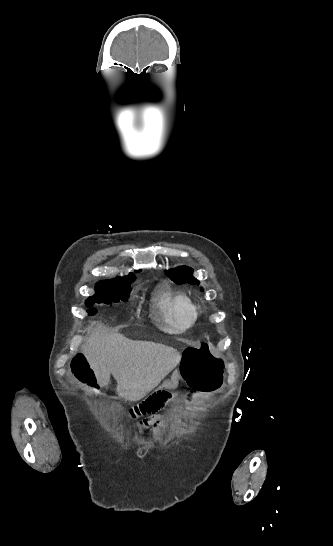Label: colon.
Wrapping results in <instances>:
<instances>
[{
  "label": "colon",
  "instance_id": "obj_1",
  "mask_svg": "<svg viewBox=\"0 0 333 546\" xmlns=\"http://www.w3.org/2000/svg\"><path fill=\"white\" fill-rule=\"evenodd\" d=\"M70 368L75 376L86 379L81 383L86 385L88 390H97L94 380L98 376L95 373L96 369L91 364L88 365L83 354H77L72 358ZM181 370L184 379L196 390L212 391L222 384V361L213 354L207 343L189 347L184 351ZM169 398L170 394L166 391L156 392L146 400L132 405L129 414L141 421L145 417L144 414L152 416Z\"/></svg>",
  "mask_w": 333,
  "mask_h": 546
}]
</instances>
